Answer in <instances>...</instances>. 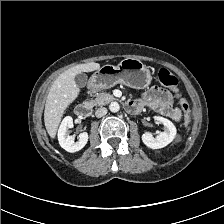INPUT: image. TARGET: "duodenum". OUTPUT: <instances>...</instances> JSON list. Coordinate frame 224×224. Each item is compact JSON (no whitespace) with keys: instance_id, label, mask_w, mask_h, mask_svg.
Wrapping results in <instances>:
<instances>
[{"instance_id":"duodenum-1","label":"duodenum","mask_w":224,"mask_h":224,"mask_svg":"<svg viewBox=\"0 0 224 224\" xmlns=\"http://www.w3.org/2000/svg\"><path fill=\"white\" fill-rule=\"evenodd\" d=\"M91 108H92L91 103L89 101H86L81 104H78L75 107V113L78 117L85 118L89 116L91 112ZM126 110L127 112L132 114L138 113L141 110V106L140 104L132 100L126 103Z\"/></svg>"}]
</instances>
